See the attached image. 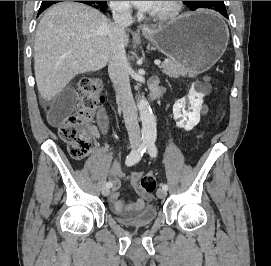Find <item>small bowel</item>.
<instances>
[{"label":"small bowel","instance_id":"c3829d8e","mask_svg":"<svg viewBox=\"0 0 271 266\" xmlns=\"http://www.w3.org/2000/svg\"><path fill=\"white\" fill-rule=\"evenodd\" d=\"M75 101L74 91L67 89L59 93L48 104V117L52 124L57 125L60 120L72 109ZM107 128V117L104 113H101L98 118V126L92 128V133L95 137H98L101 132ZM142 172H133L128 176H124L120 173L117 167H113L110 170L109 177L112 180V191L110 194V202L112 207L117 212L124 211H140L145 207V204L152 200V193H145L140 190L136 184L141 178ZM129 182L136 186V192L138 198L131 202H124L120 199L119 189L123 182Z\"/></svg>","mask_w":271,"mask_h":266}]
</instances>
